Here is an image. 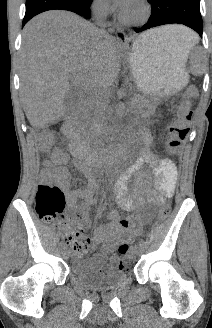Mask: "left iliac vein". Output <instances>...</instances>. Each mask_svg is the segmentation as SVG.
<instances>
[{
    "label": "left iliac vein",
    "mask_w": 212,
    "mask_h": 328,
    "mask_svg": "<svg viewBox=\"0 0 212 328\" xmlns=\"http://www.w3.org/2000/svg\"><path fill=\"white\" fill-rule=\"evenodd\" d=\"M142 252H143V245H141V244L136 245V247H135V253L137 255H141Z\"/></svg>",
    "instance_id": "left-iliac-vein-1"
}]
</instances>
